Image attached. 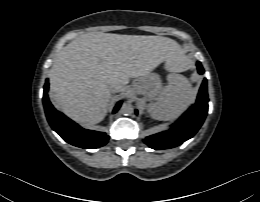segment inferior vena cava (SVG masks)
Segmentation results:
<instances>
[{"instance_id": "602c4592", "label": "inferior vena cava", "mask_w": 260, "mask_h": 202, "mask_svg": "<svg viewBox=\"0 0 260 202\" xmlns=\"http://www.w3.org/2000/svg\"><path fill=\"white\" fill-rule=\"evenodd\" d=\"M120 91V87L119 86H113L111 88V93H116V92H119Z\"/></svg>"}]
</instances>
